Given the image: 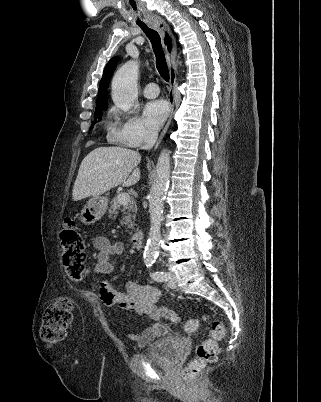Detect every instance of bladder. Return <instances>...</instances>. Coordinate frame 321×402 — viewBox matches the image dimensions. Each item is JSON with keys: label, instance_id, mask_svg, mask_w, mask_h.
<instances>
[{"label": "bladder", "instance_id": "31cf9c89", "mask_svg": "<svg viewBox=\"0 0 321 402\" xmlns=\"http://www.w3.org/2000/svg\"><path fill=\"white\" fill-rule=\"evenodd\" d=\"M179 341L178 336L169 333L166 337L144 349L140 355L162 366L171 367L175 365L179 359Z\"/></svg>", "mask_w": 321, "mask_h": 402}]
</instances>
